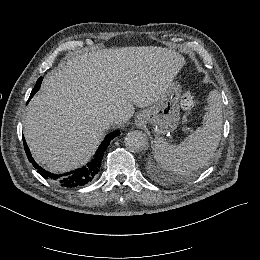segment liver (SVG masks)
I'll use <instances>...</instances> for the list:
<instances>
[{
    "label": "liver",
    "instance_id": "liver-1",
    "mask_svg": "<svg viewBox=\"0 0 260 260\" xmlns=\"http://www.w3.org/2000/svg\"><path fill=\"white\" fill-rule=\"evenodd\" d=\"M184 64L167 48L130 46L78 54L52 70L26 108L23 133L34 159L53 173L86 164L109 128L106 115L125 124L134 106L160 99Z\"/></svg>",
    "mask_w": 260,
    "mask_h": 260
}]
</instances>
